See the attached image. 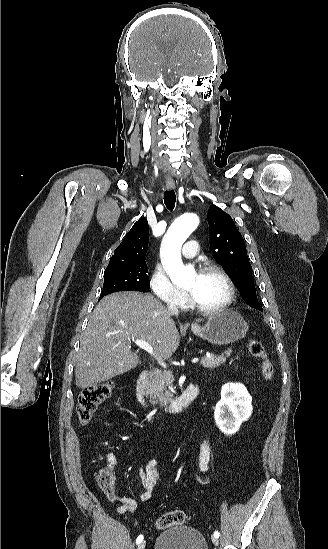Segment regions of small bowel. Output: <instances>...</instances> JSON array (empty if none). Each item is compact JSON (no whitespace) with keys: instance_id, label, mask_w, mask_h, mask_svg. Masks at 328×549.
Segmentation results:
<instances>
[{"instance_id":"c3829d8e","label":"small bowel","mask_w":328,"mask_h":549,"mask_svg":"<svg viewBox=\"0 0 328 549\" xmlns=\"http://www.w3.org/2000/svg\"><path fill=\"white\" fill-rule=\"evenodd\" d=\"M130 452L131 449L127 452V454ZM211 453V442L207 439L203 440L199 449V468L202 472H206L208 470ZM105 461L107 470L112 473L117 465V458L114 454L109 453L105 456ZM158 464L159 461L157 459H150L138 472V478L141 485V493L139 496L140 502H148L152 497L154 489L160 483L161 476L158 470ZM110 498L116 499L120 502V511L122 513L132 512L138 506V502L136 500L115 496L114 492Z\"/></svg>"}]
</instances>
